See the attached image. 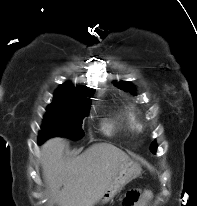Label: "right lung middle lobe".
<instances>
[{
  "mask_svg": "<svg viewBox=\"0 0 197 206\" xmlns=\"http://www.w3.org/2000/svg\"><path fill=\"white\" fill-rule=\"evenodd\" d=\"M92 95L93 93L88 97ZM88 97L55 95L53 102L47 108L38 143L42 144L53 136L80 139L84 135L82 120L87 116L91 104Z\"/></svg>",
  "mask_w": 197,
  "mask_h": 206,
  "instance_id": "right-lung-middle-lobe-1",
  "label": "right lung middle lobe"
}]
</instances>
